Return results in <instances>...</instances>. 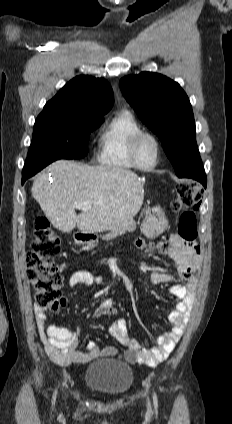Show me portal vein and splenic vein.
I'll return each instance as SVG.
<instances>
[{"label": "portal vein and splenic vein", "instance_id": "obj_1", "mask_svg": "<svg viewBox=\"0 0 232 424\" xmlns=\"http://www.w3.org/2000/svg\"><path fill=\"white\" fill-rule=\"evenodd\" d=\"M92 205L89 202L76 203L75 208L82 211L91 209Z\"/></svg>", "mask_w": 232, "mask_h": 424}]
</instances>
